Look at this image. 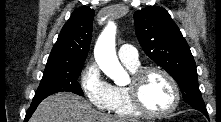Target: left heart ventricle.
<instances>
[{
	"instance_id": "b2bd125f",
	"label": "left heart ventricle",
	"mask_w": 221,
	"mask_h": 122,
	"mask_svg": "<svg viewBox=\"0 0 221 122\" xmlns=\"http://www.w3.org/2000/svg\"><path fill=\"white\" fill-rule=\"evenodd\" d=\"M144 104L152 111L167 110L173 102V92L168 81L158 73L149 74L140 88Z\"/></svg>"
}]
</instances>
